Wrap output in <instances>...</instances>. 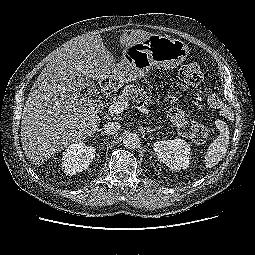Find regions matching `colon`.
Returning a JSON list of instances; mask_svg holds the SVG:
<instances>
[{
	"label": "colon",
	"instance_id": "5ec220e1",
	"mask_svg": "<svg viewBox=\"0 0 255 255\" xmlns=\"http://www.w3.org/2000/svg\"><path fill=\"white\" fill-rule=\"evenodd\" d=\"M203 80V73L201 64L198 59H194L187 65L181 68L178 74V80L176 86L178 90H183L188 86H193L201 83ZM177 97H173L174 106L171 109L170 117L173 123L176 125L180 134L192 139L197 143H204L208 138V132L206 128L196 122L189 120L185 111L177 103ZM208 103L210 106H218L220 104V98L217 94H211L208 97Z\"/></svg>",
	"mask_w": 255,
	"mask_h": 255
}]
</instances>
